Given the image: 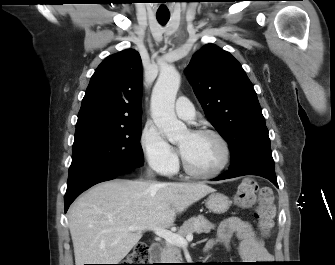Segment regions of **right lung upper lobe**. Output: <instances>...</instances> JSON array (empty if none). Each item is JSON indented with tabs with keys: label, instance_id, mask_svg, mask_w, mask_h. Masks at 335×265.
I'll list each match as a JSON object with an SVG mask.
<instances>
[{
	"label": "right lung upper lobe",
	"instance_id": "right-lung-upper-lobe-1",
	"mask_svg": "<svg viewBox=\"0 0 335 265\" xmlns=\"http://www.w3.org/2000/svg\"><path fill=\"white\" fill-rule=\"evenodd\" d=\"M142 61L127 49L108 56L91 77L76 129L142 120Z\"/></svg>",
	"mask_w": 335,
	"mask_h": 265
}]
</instances>
